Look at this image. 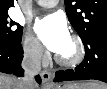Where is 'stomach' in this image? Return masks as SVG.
I'll return each mask as SVG.
<instances>
[{"mask_svg":"<svg viewBox=\"0 0 107 89\" xmlns=\"http://www.w3.org/2000/svg\"><path fill=\"white\" fill-rule=\"evenodd\" d=\"M58 89H82V88H79L76 85L66 84L63 85L62 87H59Z\"/></svg>","mask_w":107,"mask_h":89,"instance_id":"obj_1","label":"stomach"}]
</instances>
